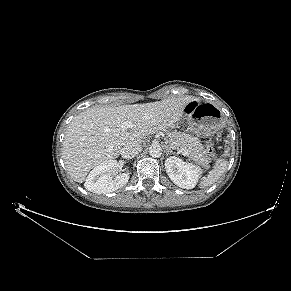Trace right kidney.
Listing matches in <instances>:
<instances>
[{"label":"right kidney","mask_w":291,"mask_h":291,"mask_svg":"<svg viewBox=\"0 0 291 291\" xmlns=\"http://www.w3.org/2000/svg\"><path fill=\"white\" fill-rule=\"evenodd\" d=\"M119 170V164L115 160L101 163L87 176L85 188L94 193H110L125 186L129 180V173H122L112 177Z\"/></svg>","instance_id":"right-kidney-1"}]
</instances>
